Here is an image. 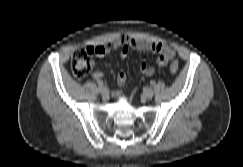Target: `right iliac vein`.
Instances as JSON below:
<instances>
[{"instance_id": "1", "label": "right iliac vein", "mask_w": 243, "mask_h": 167, "mask_svg": "<svg viewBox=\"0 0 243 167\" xmlns=\"http://www.w3.org/2000/svg\"><path fill=\"white\" fill-rule=\"evenodd\" d=\"M99 93L103 96V97H107L108 96V89L105 87H99Z\"/></svg>"}]
</instances>
